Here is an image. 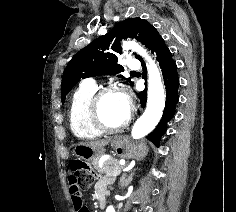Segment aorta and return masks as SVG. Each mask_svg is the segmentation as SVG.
<instances>
[{
  "label": "aorta",
  "instance_id": "aorta-1",
  "mask_svg": "<svg viewBox=\"0 0 236 212\" xmlns=\"http://www.w3.org/2000/svg\"><path fill=\"white\" fill-rule=\"evenodd\" d=\"M123 48L132 49L144 57L147 62V107L142 116L135 122L131 131L132 137L134 139H139L149 134L160 121L165 106V93L159 69L155 62L148 55L147 51L136 42H124ZM106 212H115V207L113 205H109L106 208Z\"/></svg>",
  "mask_w": 236,
  "mask_h": 212
}]
</instances>
